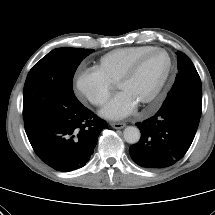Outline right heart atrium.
<instances>
[{"label": "right heart atrium", "mask_w": 215, "mask_h": 215, "mask_svg": "<svg viewBox=\"0 0 215 215\" xmlns=\"http://www.w3.org/2000/svg\"><path fill=\"white\" fill-rule=\"evenodd\" d=\"M112 88L113 84L95 68L80 70L74 77L76 95L94 106L105 104Z\"/></svg>", "instance_id": "right-heart-atrium-1"}]
</instances>
